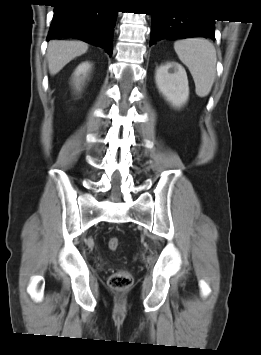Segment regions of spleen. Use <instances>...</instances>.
Returning a JSON list of instances; mask_svg holds the SVG:
<instances>
[{
    "mask_svg": "<svg viewBox=\"0 0 261 355\" xmlns=\"http://www.w3.org/2000/svg\"><path fill=\"white\" fill-rule=\"evenodd\" d=\"M174 49L194 79L196 94L206 97L216 76L217 57L214 45L206 39L193 38L176 41Z\"/></svg>",
    "mask_w": 261,
    "mask_h": 355,
    "instance_id": "1",
    "label": "spleen"
}]
</instances>
